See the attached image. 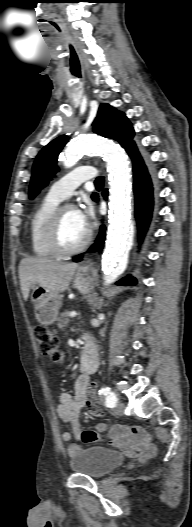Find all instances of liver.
Returning a JSON list of instances; mask_svg holds the SVG:
<instances>
[{"label": "liver", "mask_w": 192, "mask_h": 527, "mask_svg": "<svg viewBox=\"0 0 192 527\" xmlns=\"http://www.w3.org/2000/svg\"><path fill=\"white\" fill-rule=\"evenodd\" d=\"M77 268L75 263L42 257L23 258L19 264V279L24 300L28 299L31 287L36 284L55 294L64 292Z\"/></svg>", "instance_id": "1"}]
</instances>
